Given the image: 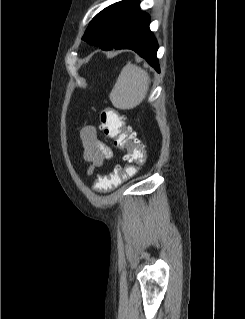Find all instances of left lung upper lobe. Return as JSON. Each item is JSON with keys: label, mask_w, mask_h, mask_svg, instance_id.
Segmentation results:
<instances>
[{"label": "left lung upper lobe", "mask_w": 245, "mask_h": 319, "mask_svg": "<svg viewBox=\"0 0 245 319\" xmlns=\"http://www.w3.org/2000/svg\"><path fill=\"white\" fill-rule=\"evenodd\" d=\"M139 10V0H124L110 5L93 18L82 39L100 47L111 46Z\"/></svg>", "instance_id": "left-lung-upper-lobe-1"}]
</instances>
